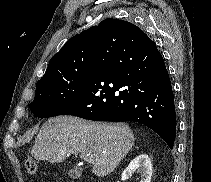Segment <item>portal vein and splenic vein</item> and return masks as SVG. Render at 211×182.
<instances>
[{
  "mask_svg": "<svg viewBox=\"0 0 211 182\" xmlns=\"http://www.w3.org/2000/svg\"><path fill=\"white\" fill-rule=\"evenodd\" d=\"M82 157V156H81ZM83 159L87 160L88 162H92L95 159V155L88 153L85 156H83Z\"/></svg>",
  "mask_w": 211,
  "mask_h": 182,
  "instance_id": "portal-vein-and-splenic-vein-1",
  "label": "portal vein and splenic vein"
}]
</instances>
